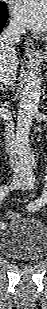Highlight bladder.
Here are the masks:
<instances>
[{
  "mask_svg": "<svg viewBox=\"0 0 47 309\" xmlns=\"http://www.w3.org/2000/svg\"><path fill=\"white\" fill-rule=\"evenodd\" d=\"M0 250L12 259H36L47 250V227L33 217L18 216L2 233Z\"/></svg>",
  "mask_w": 47,
  "mask_h": 309,
  "instance_id": "bladder-1",
  "label": "bladder"
}]
</instances>
